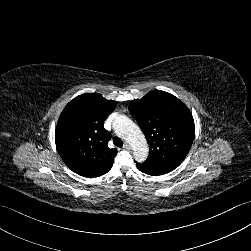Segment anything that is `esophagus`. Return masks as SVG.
<instances>
[{
    "mask_svg": "<svg viewBox=\"0 0 251 251\" xmlns=\"http://www.w3.org/2000/svg\"><path fill=\"white\" fill-rule=\"evenodd\" d=\"M123 148L126 149V150H131V146L129 145L128 142H125V143H124Z\"/></svg>",
    "mask_w": 251,
    "mask_h": 251,
    "instance_id": "obj_1",
    "label": "esophagus"
}]
</instances>
